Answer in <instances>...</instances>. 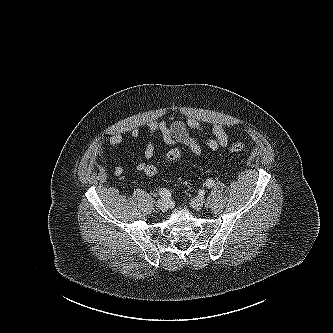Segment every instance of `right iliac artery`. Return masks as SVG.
Returning <instances> with one entry per match:
<instances>
[{
    "mask_svg": "<svg viewBox=\"0 0 333 333\" xmlns=\"http://www.w3.org/2000/svg\"><path fill=\"white\" fill-rule=\"evenodd\" d=\"M160 196L163 199L169 200L171 198V193L167 189L163 188L160 190Z\"/></svg>",
    "mask_w": 333,
    "mask_h": 333,
    "instance_id": "82829eb1",
    "label": "right iliac artery"
}]
</instances>
